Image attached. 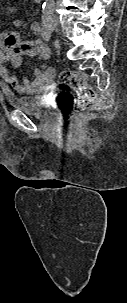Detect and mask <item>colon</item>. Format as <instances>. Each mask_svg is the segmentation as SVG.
Instances as JSON below:
<instances>
[{"mask_svg": "<svg viewBox=\"0 0 127 303\" xmlns=\"http://www.w3.org/2000/svg\"><path fill=\"white\" fill-rule=\"evenodd\" d=\"M14 42V39H8ZM58 85L61 88L60 106L66 118H72L88 109L94 102L95 92L83 76L72 70L58 74Z\"/></svg>", "mask_w": 127, "mask_h": 303, "instance_id": "colon-1", "label": "colon"}]
</instances>
